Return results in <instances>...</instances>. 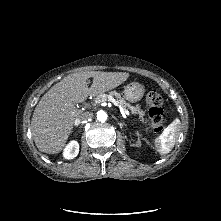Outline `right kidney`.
Segmentation results:
<instances>
[{"mask_svg": "<svg viewBox=\"0 0 221 221\" xmlns=\"http://www.w3.org/2000/svg\"><path fill=\"white\" fill-rule=\"evenodd\" d=\"M79 153V144L77 141H71L66 148L64 149L63 152V157L65 159H73L75 158Z\"/></svg>", "mask_w": 221, "mask_h": 221, "instance_id": "right-kidney-1", "label": "right kidney"}]
</instances>
